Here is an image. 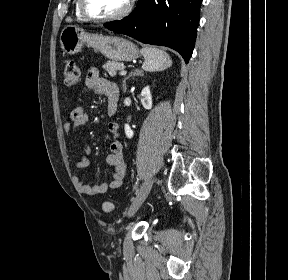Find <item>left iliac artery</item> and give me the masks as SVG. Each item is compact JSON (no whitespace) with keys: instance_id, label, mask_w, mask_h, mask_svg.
Here are the masks:
<instances>
[{"instance_id":"left-iliac-artery-1","label":"left iliac artery","mask_w":288,"mask_h":280,"mask_svg":"<svg viewBox=\"0 0 288 280\" xmlns=\"http://www.w3.org/2000/svg\"><path fill=\"white\" fill-rule=\"evenodd\" d=\"M141 189H142V184H135L133 196L130 197L131 201L135 200L134 196H140Z\"/></svg>"}]
</instances>
